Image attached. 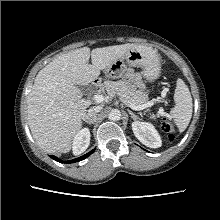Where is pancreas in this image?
<instances>
[{"mask_svg": "<svg viewBox=\"0 0 220 220\" xmlns=\"http://www.w3.org/2000/svg\"><path fill=\"white\" fill-rule=\"evenodd\" d=\"M104 87L111 98L115 95H118L120 101L127 106H129L130 104L142 105L146 103L147 95L136 90L135 87L127 84L123 80L116 82L105 81ZM152 117L154 116L152 115Z\"/></svg>", "mask_w": 220, "mask_h": 220, "instance_id": "pancreas-1", "label": "pancreas"}]
</instances>
